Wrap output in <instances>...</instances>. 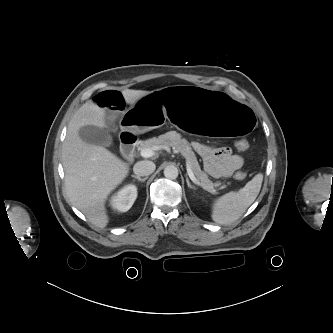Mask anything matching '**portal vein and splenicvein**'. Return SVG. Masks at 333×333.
I'll list each match as a JSON object with an SVG mask.
<instances>
[{"instance_id":"18ae733b","label":"portal vein and splenic vein","mask_w":333,"mask_h":333,"mask_svg":"<svg viewBox=\"0 0 333 333\" xmlns=\"http://www.w3.org/2000/svg\"><path fill=\"white\" fill-rule=\"evenodd\" d=\"M154 150L152 148H143L140 150V155L144 158H149L152 157L154 155ZM186 169H187V174L189 176V178L197 185L202 186L204 189L206 188L205 186H203L201 184V182L196 178L195 174L193 173L190 165L187 163L186 164Z\"/></svg>"}]
</instances>
